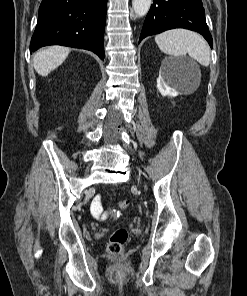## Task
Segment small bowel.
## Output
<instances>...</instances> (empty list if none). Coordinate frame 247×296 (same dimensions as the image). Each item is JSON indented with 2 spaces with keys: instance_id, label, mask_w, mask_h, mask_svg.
<instances>
[{
  "instance_id": "small-bowel-1",
  "label": "small bowel",
  "mask_w": 247,
  "mask_h": 296,
  "mask_svg": "<svg viewBox=\"0 0 247 296\" xmlns=\"http://www.w3.org/2000/svg\"><path fill=\"white\" fill-rule=\"evenodd\" d=\"M100 211H101V206L99 204L98 201H95L94 202V205H93V212L96 216H99L100 215Z\"/></svg>"
}]
</instances>
